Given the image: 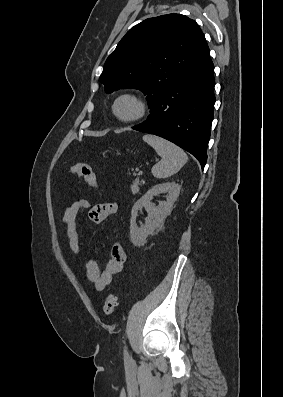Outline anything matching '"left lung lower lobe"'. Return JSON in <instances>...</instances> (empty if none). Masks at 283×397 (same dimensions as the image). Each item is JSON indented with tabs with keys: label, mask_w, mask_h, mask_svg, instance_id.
<instances>
[{
	"label": "left lung lower lobe",
	"mask_w": 283,
	"mask_h": 397,
	"mask_svg": "<svg viewBox=\"0 0 283 397\" xmlns=\"http://www.w3.org/2000/svg\"><path fill=\"white\" fill-rule=\"evenodd\" d=\"M214 86V65L208 55L160 97L146 121L132 129L175 143L194 155L203 169L214 118Z\"/></svg>",
	"instance_id": "left-lung-lower-lobe-1"
}]
</instances>
